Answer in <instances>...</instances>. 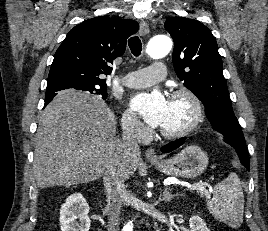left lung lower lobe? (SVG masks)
I'll return each mask as SVG.
<instances>
[{"label":"left lung lower lobe","instance_id":"1","mask_svg":"<svg viewBox=\"0 0 268 231\" xmlns=\"http://www.w3.org/2000/svg\"><path fill=\"white\" fill-rule=\"evenodd\" d=\"M185 139H186V137H182L178 140L170 142L167 145L163 146L161 148V151L163 153L171 152V151L175 150L176 148H178L179 146H181ZM234 148H235V150L240 158L241 163L247 168V170H250V159L248 156L247 147L237 146Z\"/></svg>","mask_w":268,"mask_h":231}]
</instances>
